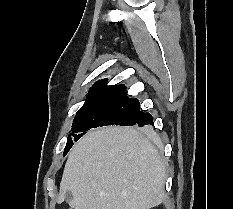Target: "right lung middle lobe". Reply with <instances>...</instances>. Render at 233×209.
Segmentation results:
<instances>
[{
    "label": "right lung middle lobe",
    "mask_w": 233,
    "mask_h": 209,
    "mask_svg": "<svg viewBox=\"0 0 233 209\" xmlns=\"http://www.w3.org/2000/svg\"><path fill=\"white\" fill-rule=\"evenodd\" d=\"M139 103H96L82 106L77 112L64 149V156L89 129L98 126H133L140 118Z\"/></svg>",
    "instance_id": "dd1d6c3e"
}]
</instances>
